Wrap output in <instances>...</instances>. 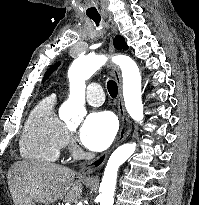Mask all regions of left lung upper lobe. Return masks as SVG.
<instances>
[{"label":"left lung upper lobe","mask_w":199,"mask_h":205,"mask_svg":"<svg viewBox=\"0 0 199 205\" xmlns=\"http://www.w3.org/2000/svg\"><path fill=\"white\" fill-rule=\"evenodd\" d=\"M114 47L118 50H121V49H124V50H127L128 47H127V44L125 43V39L120 36V35H117L114 39ZM60 65V62L56 63L55 65L51 66L47 72L45 73V76H44V80L47 79L49 77V75ZM43 80V82H44Z\"/></svg>","instance_id":"obj_1"}]
</instances>
